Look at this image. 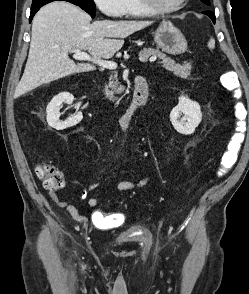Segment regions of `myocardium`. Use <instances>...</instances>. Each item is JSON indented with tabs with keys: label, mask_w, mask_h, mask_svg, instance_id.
Listing matches in <instances>:
<instances>
[{
	"label": "myocardium",
	"mask_w": 249,
	"mask_h": 294,
	"mask_svg": "<svg viewBox=\"0 0 249 294\" xmlns=\"http://www.w3.org/2000/svg\"><path fill=\"white\" fill-rule=\"evenodd\" d=\"M139 2L150 15L162 16L179 11L186 5L188 0H181L176 6L165 9L158 8L153 0H139Z\"/></svg>",
	"instance_id": "1"
}]
</instances>
